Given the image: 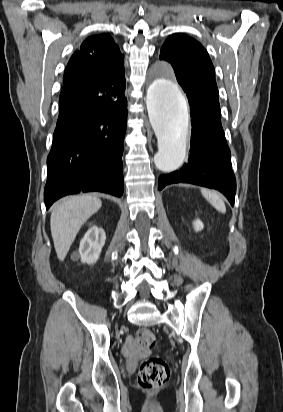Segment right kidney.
Here are the masks:
<instances>
[{"instance_id": "right-kidney-1", "label": "right kidney", "mask_w": 283, "mask_h": 412, "mask_svg": "<svg viewBox=\"0 0 283 412\" xmlns=\"http://www.w3.org/2000/svg\"><path fill=\"white\" fill-rule=\"evenodd\" d=\"M106 235L102 228L92 226L80 242L79 254L82 263L94 264L99 259Z\"/></svg>"}]
</instances>
